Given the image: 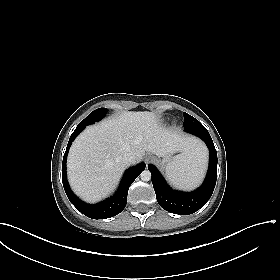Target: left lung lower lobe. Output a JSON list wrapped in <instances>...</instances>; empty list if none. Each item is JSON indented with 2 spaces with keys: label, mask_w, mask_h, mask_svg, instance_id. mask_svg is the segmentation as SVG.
Masks as SVG:
<instances>
[{
  "label": "left lung lower lobe",
  "mask_w": 280,
  "mask_h": 280,
  "mask_svg": "<svg viewBox=\"0 0 280 280\" xmlns=\"http://www.w3.org/2000/svg\"><path fill=\"white\" fill-rule=\"evenodd\" d=\"M185 131L201 138L209 148L208 172L201 187L193 192L172 190L157 168L152 164L148 165L158 203L166 211L179 215H189L203 207L210 199L217 179V153L209 132L205 127Z\"/></svg>",
  "instance_id": "obj_1"
}]
</instances>
